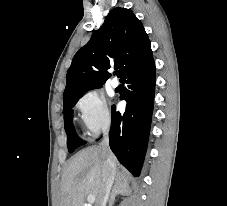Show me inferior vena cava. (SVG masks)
<instances>
[{
	"mask_svg": "<svg viewBox=\"0 0 227 206\" xmlns=\"http://www.w3.org/2000/svg\"><path fill=\"white\" fill-rule=\"evenodd\" d=\"M101 148H102L103 154L106 156L103 172L107 177L105 182V193H104L103 200L101 202V206H106V203L109 198L110 190L114 182L115 172H116L115 159L109 147L108 133H105V136L103 137Z\"/></svg>",
	"mask_w": 227,
	"mask_h": 206,
	"instance_id": "602c4592",
	"label": "inferior vena cava"
}]
</instances>
